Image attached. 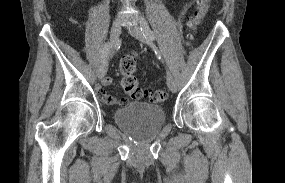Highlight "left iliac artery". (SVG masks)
<instances>
[{"label":"left iliac artery","mask_w":285,"mask_h":183,"mask_svg":"<svg viewBox=\"0 0 285 183\" xmlns=\"http://www.w3.org/2000/svg\"><path fill=\"white\" fill-rule=\"evenodd\" d=\"M140 24H141V31H142L143 35L145 36V38L148 41L155 40V35H154L153 31L150 29L147 21L144 18L141 19ZM158 55L160 56L159 52H158Z\"/></svg>","instance_id":"1"}]
</instances>
